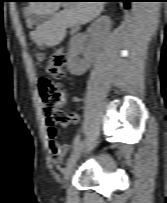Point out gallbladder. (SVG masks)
<instances>
[{
	"instance_id": "obj_1",
	"label": "gallbladder",
	"mask_w": 167,
	"mask_h": 203,
	"mask_svg": "<svg viewBox=\"0 0 167 203\" xmlns=\"http://www.w3.org/2000/svg\"><path fill=\"white\" fill-rule=\"evenodd\" d=\"M28 19L33 25H41L51 19V15L29 14Z\"/></svg>"
}]
</instances>
